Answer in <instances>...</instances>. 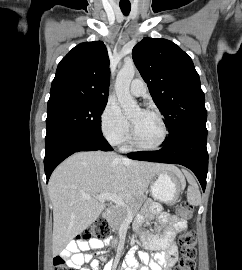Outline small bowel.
Returning a JSON list of instances; mask_svg holds the SVG:
<instances>
[{
	"label": "small bowel",
	"mask_w": 242,
	"mask_h": 270,
	"mask_svg": "<svg viewBox=\"0 0 242 270\" xmlns=\"http://www.w3.org/2000/svg\"><path fill=\"white\" fill-rule=\"evenodd\" d=\"M150 212L157 215L165 229L161 235H151L142 237V245L154 251L153 258L150 259L147 252H139V260L143 265H139L134 253H127L124 258V270H172L178 261V248L176 237L187 228V222L175 215L163 213L158 205H151ZM147 219L146 214H141L136 219V224L140 225ZM110 243L109 240H90L80 242H70L60 256L65 260L66 265L71 270H99V260L94 258V254L86 251H98ZM113 263L107 262L103 270H112Z\"/></svg>",
	"instance_id": "1"
}]
</instances>
